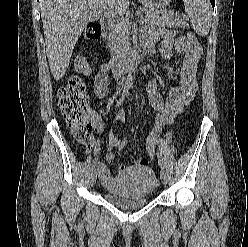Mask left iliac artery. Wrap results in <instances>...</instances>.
<instances>
[{"label": "left iliac artery", "mask_w": 248, "mask_h": 247, "mask_svg": "<svg viewBox=\"0 0 248 247\" xmlns=\"http://www.w3.org/2000/svg\"><path fill=\"white\" fill-rule=\"evenodd\" d=\"M158 163L161 166L162 169H164V163L163 160L161 159V157L158 155Z\"/></svg>", "instance_id": "obj_1"}]
</instances>
